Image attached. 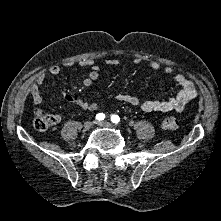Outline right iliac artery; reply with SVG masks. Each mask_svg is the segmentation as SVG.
Wrapping results in <instances>:
<instances>
[{
  "label": "right iliac artery",
  "mask_w": 221,
  "mask_h": 221,
  "mask_svg": "<svg viewBox=\"0 0 221 221\" xmlns=\"http://www.w3.org/2000/svg\"><path fill=\"white\" fill-rule=\"evenodd\" d=\"M96 119H97L98 121L104 120V119H105V114H103V113L97 114V115H96Z\"/></svg>",
  "instance_id": "obj_1"
}]
</instances>
